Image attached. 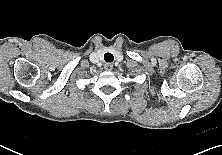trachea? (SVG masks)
<instances>
[{
    "instance_id": "obj_1",
    "label": "trachea",
    "mask_w": 222,
    "mask_h": 155,
    "mask_svg": "<svg viewBox=\"0 0 222 155\" xmlns=\"http://www.w3.org/2000/svg\"><path fill=\"white\" fill-rule=\"evenodd\" d=\"M104 60L106 61V62H113V60H114V56H113V54H111V53H106L105 55H104Z\"/></svg>"
}]
</instances>
